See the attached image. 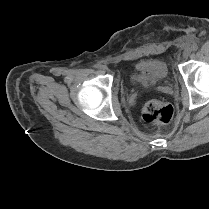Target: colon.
Listing matches in <instances>:
<instances>
[{
  "label": "colon",
  "instance_id": "1",
  "mask_svg": "<svg viewBox=\"0 0 209 209\" xmlns=\"http://www.w3.org/2000/svg\"><path fill=\"white\" fill-rule=\"evenodd\" d=\"M142 118L145 122L156 125L168 124L174 115L172 106L159 101L150 100L142 107Z\"/></svg>",
  "mask_w": 209,
  "mask_h": 209
}]
</instances>
